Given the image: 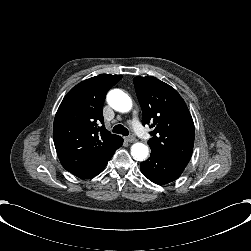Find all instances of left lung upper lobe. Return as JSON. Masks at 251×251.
<instances>
[{"mask_svg": "<svg viewBox=\"0 0 251 251\" xmlns=\"http://www.w3.org/2000/svg\"><path fill=\"white\" fill-rule=\"evenodd\" d=\"M143 111V125L154 128L148 144L151 152L188 164L193 152L194 123L186 103L170 85L155 77L133 79Z\"/></svg>", "mask_w": 251, "mask_h": 251, "instance_id": "5c2ea615", "label": "left lung upper lobe"}]
</instances>
